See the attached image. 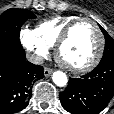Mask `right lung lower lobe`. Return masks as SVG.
Listing matches in <instances>:
<instances>
[{
    "instance_id": "98d812e1",
    "label": "right lung lower lobe",
    "mask_w": 114,
    "mask_h": 114,
    "mask_svg": "<svg viewBox=\"0 0 114 114\" xmlns=\"http://www.w3.org/2000/svg\"><path fill=\"white\" fill-rule=\"evenodd\" d=\"M43 77V67L25 61L24 50L0 48V114L26 108L32 97L31 84Z\"/></svg>"
}]
</instances>
